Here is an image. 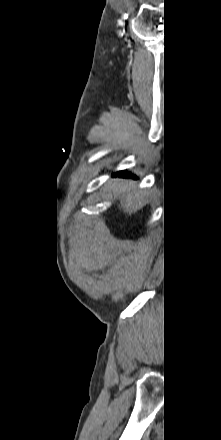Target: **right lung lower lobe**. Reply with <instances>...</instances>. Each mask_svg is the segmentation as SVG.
Listing matches in <instances>:
<instances>
[{
	"instance_id": "98d812e1",
	"label": "right lung lower lobe",
	"mask_w": 221,
	"mask_h": 440,
	"mask_svg": "<svg viewBox=\"0 0 221 440\" xmlns=\"http://www.w3.org/2000/svg\"><path fill=\"white\" fill-rule=\"evenodd\" d=\"M119 175L121 177H130L129 173L127 171H120L114 174V176ZM133 178H136L135 176H132Z\"/></svg>"
}]
</instances>
